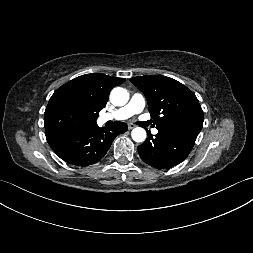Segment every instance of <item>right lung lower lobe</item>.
Wrapping results in <instances>:
<instances>
[{"label":"right lung lower lobe","instance_id":"obj_1","mask_svg":"<svg viewBox=\"0 0 253 253\" xmlns=\"http://www.w3.org/2000/svg\"><path fill=\"white\" fill-rule=\"evenodd\" d=\"M127 129V124L123 122H116L111 128H100L95 123L87 128L49 137L47 142L67 163L88 166L101 160L114 138Z\"/></svg>","mask_w":253,"mask_h":253}]
</instances>
